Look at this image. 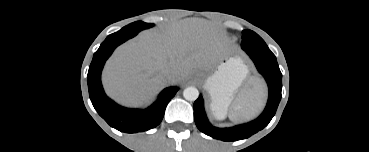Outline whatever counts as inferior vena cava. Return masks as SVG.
Returning <instances> with one entry per match:
<instances>
[{
	"mask_svg": "<svg viewBox=\"0 0 369 152\" xmlns=\"http://www.w3.org/2000/svg\"><path fill=\"white\" fill-rule=\"evenodd\" d=\"M171 77H172V72L168 71L167 79H168V80H171Z\"/></svg>",
	"mask_w": 369,
	"mask_h": 152,
	"instance_id": "602c4592",
	"label": "inferior vena cava"
}]
</instances>
